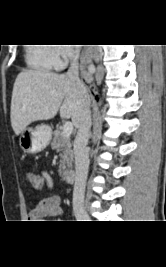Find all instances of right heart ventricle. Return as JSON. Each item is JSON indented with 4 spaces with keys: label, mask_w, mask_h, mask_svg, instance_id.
I'll list each match as a JSON object with an SVG mask.
<instances>
[{
    "label": "right heart ventricle",
    "mask_w": 166,
    "mask_h": 267,
    "mask_svg": "<svg viewBox=\"0 0 166 267\" xmlns=\"http://www.w3.org/2000/svg\"><path fill=\"white\" fill-rule=\"evenodd\" d=\"M25 50V62L33 70L49 72L58 67L54 48L49 44L33 43L28 44Z\"/></svg>",
    "instance_id": "1"
}]
</instances>
